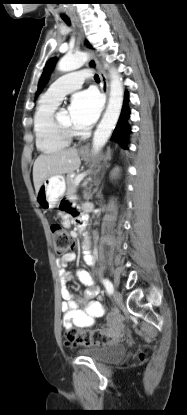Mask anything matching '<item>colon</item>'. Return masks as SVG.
Wrapping results in <instances>:
<instances>
[{
  "mask_svg": "<svg viewBox=\"0 0 187 415\" xmlns=\"http://www.w3.org/2000/svg\"><path fill=\"white\" fill-rule=\"evenodd\" d=\"M51 234L54 243V252L58 256H63L73 246V240L69 234L59 224L51 225ZM124 332L120 329L115 330H72L67 335L68 345H104L110 342L117 341L124 337ZM146 349L141 352V356H144Z\"/></svg>",
  "mask_w": 187,
  "mask_h": 415,
  "instance_id": "colon-1",
  "label": "colon"
}]
</instances>
